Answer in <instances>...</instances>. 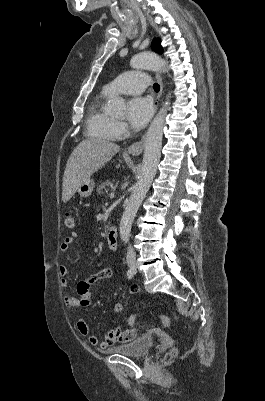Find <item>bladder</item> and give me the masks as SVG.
Returning <instances> with one entry per match:
<instances>
[{"mask_svg":"<svg viewBox=\"0 0 265 401\" xmlns=\"http://www.w3.org/2000/svg\"><path fill=\"white\" fill-rule=\"evenodd\" d=\"M153 343L154 341L152 337H140L126 345L111 348L110 351L133 356H141L149 352L150 348L153 346Z\"/></svg>","mask_w":265,"mask_h":401,"instance_id":"obj_1","label":"bladder"}]
</instances>
